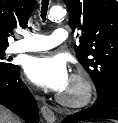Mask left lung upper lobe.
Returning a JSON list of instances; mask_svg holds the SVG:
<instances>
[{"label":"left lung upper lobe","instance_id":"left-lung-upper-lobe-1","mask_svg":"<svg viewBox=\"0 0 118 123\" xmlns=\"http://www.w3.org/2000/svg\"><path fill=\"white\" fill-rule=\"evenodd\" d=\"M69 26L81 30L76 56L92 77L97 94L118 80V3L116 0H64Z\"/></svg>","mask_w":118,"mask_h":123}]
</instances>
